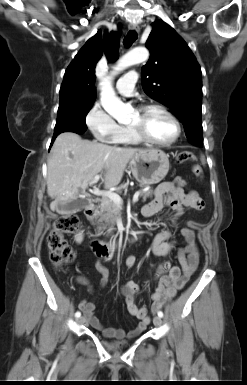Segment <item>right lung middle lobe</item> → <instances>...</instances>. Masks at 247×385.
<instances>
[{
	"instance_id": "dd1d6c3e",
	"label": "right lung middle lobe",
	"mask_w": 247,
	"mask_h": 385,
	"mask_svg": "<svg viewBox=\"0 0 247 385\" xmlns=\"http://www.w3.org/2000/svg\"><path fill=\"white\" fill-rule=\"evenodd\" d=\"M93 103L94 99L60 98L54 136L62 132L86 131L85 118Z\"/></svg>"
}]
</instances>
